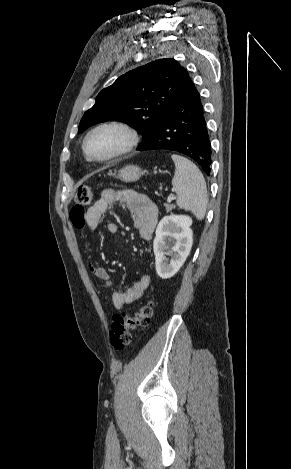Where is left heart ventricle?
Here are the masks:
<instances>
[{
    "mask_svg": "<svg viewBox=\"0 0 291 469\" xmlns=\"http://www.w3.org/2000/svg\"><path fill=\"white\" fill-rule=\"evenodd\" d=\"M124 134L113 128L95 132L88 141V151L94 157H106L118 150L124 143Z\"/></svg>",
    "mask_w": 291,
    "mask_h": 469,
    "instance_id": "1",
    "label": "left heart ventricle"
}]
</instances>
